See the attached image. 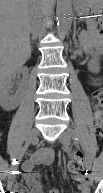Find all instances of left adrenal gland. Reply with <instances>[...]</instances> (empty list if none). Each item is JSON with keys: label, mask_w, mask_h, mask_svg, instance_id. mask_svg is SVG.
<instances>
[{"label": "left adrenal gland", "mask_w": 103, "mask_h": 193, "mask_svg": "<svg viewBox=\"0 0 103 193\" xmlns=\"http://www.w3.org/2000/svg\"><path fill=\"white\" fill-rule=\"evenodd\" d=\"M74 35L76 36V29H74ZM75 43L77 44V40L75 39Z\"/></svg>", "instance_id": "obj_1"}]
</instances>
